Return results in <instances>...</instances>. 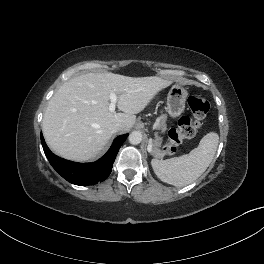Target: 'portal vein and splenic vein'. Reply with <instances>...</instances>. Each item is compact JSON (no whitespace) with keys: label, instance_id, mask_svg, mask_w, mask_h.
I'll list each match as a JSON object with an SVG mask.
<instances>
[{"label":"portal vein and splenic vein","instance_id":"obj_1","mask_svg":"<svg viewBox=\"0 0 264 264\" xmlns=\"http://www.w3.org/2000/svg\"><path fill=\"white\" fill-rule=\"evenodd\" d=\"M109 98H110L111 103L109 104L108 109L110 112H114L116 108V103H117V96L115 93L112 92L110 93ZM148 149L151 150V146H149Z\"/></svg>","mask_w":264,"mask_h":264}]
</instances>
